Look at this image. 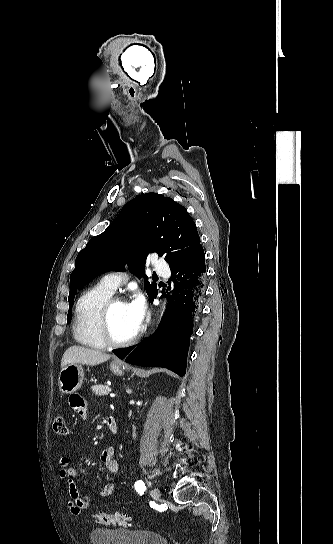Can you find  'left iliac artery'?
Instances as JSON below:
<instances>
[{"label":"left iliac artery","instance_id":"left-iliac-artery-1","mask_svg":"<svg viewBox=\"0 0 333 544\" xmlns=\"http://www.w3.org/2000/svg\"><path fill=\"white\" fill-rule=\"evenodd\" d=\"M146 487H145V484L142 480H138L135 482V490L138 492V493H143L145 491Z\"/></svg>","mask_w":333,"mask_h":544}]
</instances>
